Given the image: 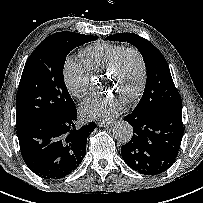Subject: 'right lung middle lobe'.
Here are the masks:
<instances>
[{
  "label": "right lung middle lobe",
  "instance_id": "dd1d6c3e",
  "mask_svg": "<svg viewBox=\"0 0 203 203\" xmlns=\"http://www.w3.org/2000/svg\"><path fill=\"white\" fill-rule=\"evenodd\" d=\"M97 36L58 32L45 38L29 56L16 98L17 129L66 112L75 104L63 78L66 56Z\"/></svg>",
  "mask_w": 203,
  "mask_h": 203
}]
</instances>
